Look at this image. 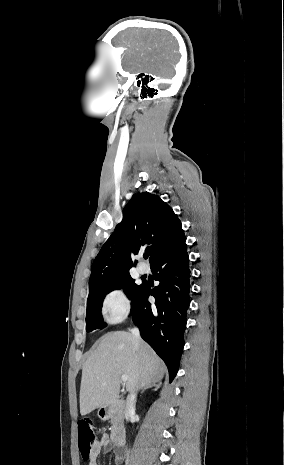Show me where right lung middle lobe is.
I'll return each instance as SVG.
<instances>
[{"label": "right lung middle lobe", "instance_id": "1", "mask_svg": "<svg viewBox=\"0 0 284 465\" xmlns=\"http://www.w3.org/2000/svg\"><path fill=\"white\" fill-rule=\"evenodd\" d=\"M131 276L120 278L103 287H100L89 293L87 299V312H86V329L92 331L94 329L106 326L101 315L102 302L106 294L116 289H124L129 299H133L141 285L134 283Z\"/></svg>", "mask_w": 284, "mask_h": 465}]
</instances>
